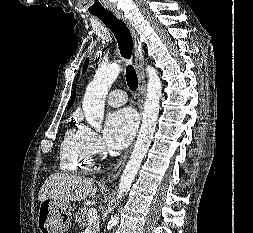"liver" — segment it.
<instances>
[{"label":"liver","instance_id":"obj_1","mask_svg":"<svg viewBox=\"0 0 253 233\" xmlns=\"http://www.w3.org/2000/svg\"><path fill=\"white\" fill-rule=\"evenodd\" d=\"M97 186L93 178L80 177L70 174H51L42 184L38 199L47 198L61 201H81L88 196H94Z\"/></svg>","mask_w":253,"mask_h":233}]
</instances>
